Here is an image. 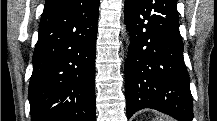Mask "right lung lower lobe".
<instances>
[{
  "instance_id": "98d812e1",
  "label": "right lung lower lobe",
  "mask_w": 217,
  "mask_h": 121,
  "mask_svg": "<svg viewBox=\"0 0 217 121\" xmlns=\"http://www.w3.org/2000/svg\"><path fill=\"white\" fill-rule=\"evenodd\" d=\"M99 0L44 9L28 98L32 121H95Z\"/></svg>"
}]
</instances>
